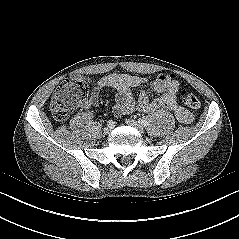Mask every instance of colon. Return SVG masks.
I'll return each instance as SVG.
<instances>
[{
    "label": "colon",
    "instance_id": "obj_1",
    "mask_svg": "<svg viewBox=\"0 0 239 239\" xmlns=\"http://www.w3.org/2000/svg\"><path fill=\"white\" fill-rule=\"evenodd\" d=\"M88 96L87 85L77 79L63 80L54 91L50 110L53 117L58 121L68 118L70 113L85 101ZM180 96L183 103L190 108H197L200 105L198 97L191 91L182 89Z\"/></svg>",
    "mask_w": 239,
    "mask_h": 239
}]
</instances>
